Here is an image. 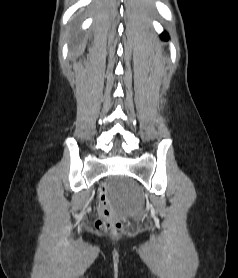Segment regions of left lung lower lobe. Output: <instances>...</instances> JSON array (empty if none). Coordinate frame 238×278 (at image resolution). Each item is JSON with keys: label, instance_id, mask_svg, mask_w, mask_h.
Listing matches in <instances>:
<instances>
[{"label": "left lung lower lobe", "instance_id": "obj_1", "mask_svg": "<svg viewBox=\"0 0 238 278\" xmlns=\"http://www.w3.org/2000/svg\"><path fill=\"white\" fill-rule=\"evenodd\" d=\"M162 37L167 38L168 35L166 33H163Z\"/></svg>", "mask_w": 238, "mask_h": 278}]
</instances>
